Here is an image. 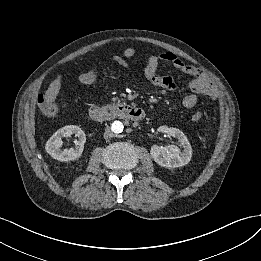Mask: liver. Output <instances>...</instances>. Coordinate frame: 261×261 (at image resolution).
Returning a JSON list of instances; mask_svg holds the SVG:
<instances>
[{
  "label": "liver",
  "mask_w": 261,
  "mask_h": 261,
  "mask_svg": "<svg viewBox=\"0 0 261 261\" xmlns=\"http://www.w3.org/2000/svg\"><path fill=\"white\" fill-rule=\"evenodd\" d=\"M60 88H61V75H58L57 78L50 83L47 91L45 92L44 95L45 105H50L56 100Z\"/></svg>",
  "instance_id": "6515ba94"
}]
</instances>
